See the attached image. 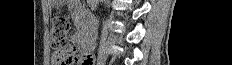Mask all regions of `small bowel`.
Here are the masks:
<instances>
[{
	"mask_svg": "<svg viewBox=\"0 0 232 65\" xmlns=\"http://www.w3.org/2000/svg\"><path fill=\"white\" fill-rule=\"evenodd\" d=\"M73 41H74V42H78V41H79V37H78V36H74V37H73Z\"/></svg>",
	"mask_w": 232,
	"mask_h": 65,
	"instance_id": "1",
	"label": "small bowel"
}]
</instances>
